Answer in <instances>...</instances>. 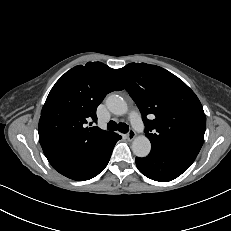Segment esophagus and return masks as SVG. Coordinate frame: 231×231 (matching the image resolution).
Listing matches in <instances>:
<instances>
[{
    "mask_svg": "<svg viewBox=\"0 0 231 231\" xmlns=\"http://www.w3.org/2000/svg\"><path fill=\"white\" fill-rule=\"evenodd\" d=\"M136 137V132L133 129H130L127 134V139L132 141Z\"/></svg>",
    "mask_w": 231,
    "mask_h": 231,
    "instance_id": "1",
    "label": "esophagus"
}]
</instances>
